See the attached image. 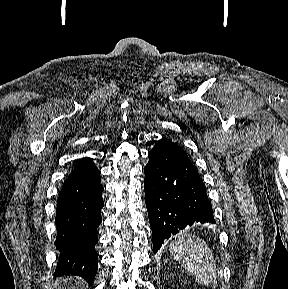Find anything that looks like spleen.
<instances>
[{"instance_id": "obj_1", "label": "spleen", "mask_w": 288, "mask_h": 289, "mask_svg": "<svg viewBox=\"0 0 288 289\" xmlns=\"http://www.w3.org/2000/svg\"><path fill=\"white\" fill-rule=\"evenodd\" d=\"M169 250L199 284L208 286L216 280V262L204 240L183 231L170 243Z\"/></svg>"}]
</instances>
